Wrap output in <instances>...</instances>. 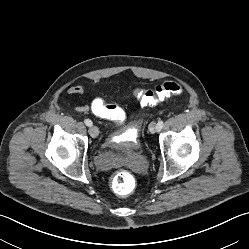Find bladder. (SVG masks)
<instances>
[{
    "label": "bladder",
    "instance_id": "obj_1",
    "mask_svg": "<svg viewBox=\"0 0 249 249\" xmlns=\"http://www.w3.org/2000/svg\"><path fill=\"white\" fill-rule=\"evenodd\" d=\"M105 144L108 148V155L106 158H99L97 163L101 170L111 168L119 158L126 155H136L143 151V144L134 126L131 125H124L118 133L108 137Z\"/></svg>",
    "mask_w": 249,
    "mask_h": 249
}]
</instances>
